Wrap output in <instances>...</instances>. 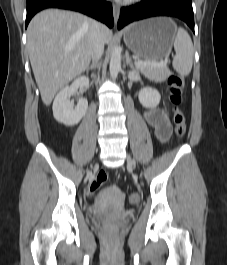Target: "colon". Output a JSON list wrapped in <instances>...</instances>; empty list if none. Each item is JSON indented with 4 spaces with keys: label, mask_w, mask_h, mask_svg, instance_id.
Instances as JSON below:
<instances>
[{
    "label": "colon",
    "mask_w": 227,
    "mask_h": 265,
    "mask_svg": "<svg viewBox=\"0 0 227 265\" xmlns=\"http://www.w3.org/2000/svg\"><path fill=\"white\" fill-rule=\"evenodd\" d=\"M185 86V78L181 75H172L168 79V93L169 101L172 105V115L174 122V131L177 138L182 139L187 132V124L185 116L179 105L182 100V92ZM107 174L104 171H100L92 182L89 184L88 192L91 196H94L100 187L107 181ZM131 205H136L140 202V197L137 194H131L128 198Z\"/></svg>",
    "instance_id": "obj_1"
}]
</instances>
